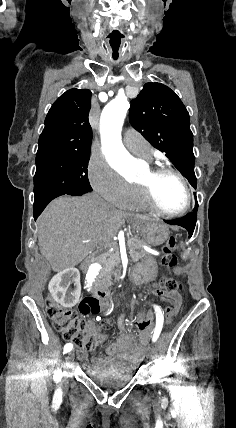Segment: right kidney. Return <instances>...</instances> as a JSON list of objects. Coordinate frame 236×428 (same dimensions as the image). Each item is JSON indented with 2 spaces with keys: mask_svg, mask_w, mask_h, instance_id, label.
Here are the masks:
<instances>
[{
  "mask_svg": "<svg viewBox=\"0 0 236 428\" xmlns=\"http://www.w3.org/2000/svg\"><path fill=\"white\" fill-rule=\"evenodd\" d=\"M67 278H76L72 280L75 283H66ZM80 274L79 270L60 269L59 272L55 273V277H52L49 284V290L53 293V300L58 305L64 306V308H72L79 300L81 288H80ZM71 282V280H70ZM55 286V288H53Z\"/></svg>",
  "mask_w": 236,
  "mask_h": 428,
  "instance_id": "obj_1",
  "label": "right kidney"
}]
</instances>
